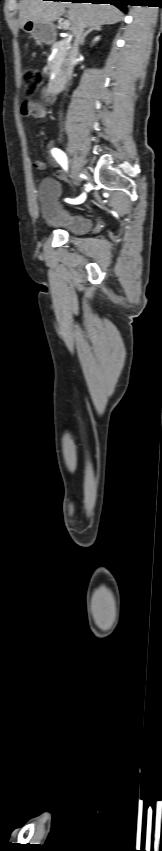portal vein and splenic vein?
<instances>
[{"label": "portal vein and splenic vein", "mask_w": 162, "mask_h": 851, "mask_svg": "<svg viewBox=\"0 0 162 851\" xmlns=\"http://www.w3.org/2000/svg\"><path fill=\"white\" fill-rule=\"evenodd\" d=\"M62 28H63L64 30H68V29L70 28V21H69V20H64V22H63V24H62Z\"/></svg>", "instance_id": "18ae733b"}]
</instances>
